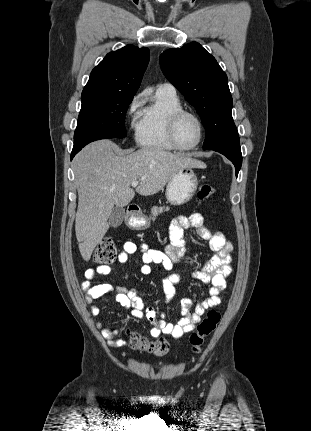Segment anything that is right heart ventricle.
<instances>
[{"label":"right heart ventricle","mask_w":311,"mask_h":431,"mask_svg":"<svg viewBox=\"0 0 311 431\" xmlns=\"http://www.w3.org/2000/svg\"><path fill=\"white\" fill-rule=\"evenodd\" d=\"M183 108L184 105L176 92L157 89L152 103L140 113L135 130L137 144L157 151L176 150L169 138L168 124L170 116Z\"/></svg>","instance_id":"e07e8e85"}]
</instances>
